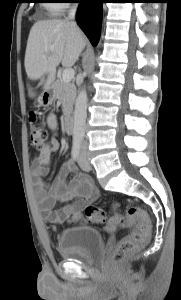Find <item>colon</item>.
<instances>
[{
    "label": "colon",
    "instance_id": "1",
    "mask_svg": "<svg viewBox=\"0 0 181 300\" xmlns=\"http://www.w3.org/2000/svg\"><path fill=\"white\" fill-rule=\"evenodd\" d=\"M29 137L34 147L41 148L48 138V131L44 126L31 125ZM113 207L116 208L117 205ZM85 216L90 223H105L108 231H113L118 227H135L118 243L113 253V261L117 263L127 260L150 239L151 222L144 208L132 206L128 208L125 215L115 213L107 217V213L102 208L88 206L85 208Z\"/></svg>",
    "mask_w": 181,
    "mask_h": 300
}]
</instances>
